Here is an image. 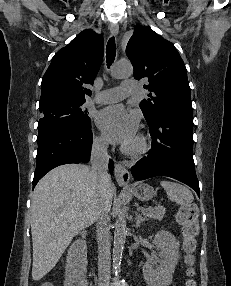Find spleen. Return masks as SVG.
<instances>
[{
    "label": "spleen",
    "instance_id": "3e777b00",
    "mask_svg": "<svg viewBox=\"0 0 231 286\" xmlns=\"http://www.w3.org/2000/svg\"><path fill=\"white\" fill-rule=\"evenodd\" d=\"M160 185L166 191L168 198L178 205H190L193 202V194L187 187L179 183L166 180L161 181Z\"/></svg>",
    "mask_w": 231,
    "mask_h": 286
}]
</instances>
